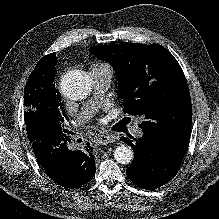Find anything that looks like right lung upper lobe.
Listing matches in <instances>:
<instances>
[{"label":"right lung upper lobe","instance_id":"right-lung-upper-lobe-1","mask_svg":"<svg viewBox=\"0 0 219 219\" xmlns=\"http://www.w3.org/2000/svg\"><path fill=\"white\" fill-rule=\"evenodd\" d=\"M46 56H56L55 53H52V54H49V55H46ZM44 56V57H46ZM55 63L57 64V61L55 60ZM61 95V94H60Z\"/></svg>","mask_w":219,"mask_h":219}]
</instances>
